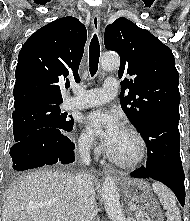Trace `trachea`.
Segmentation results:
<instances>
[{"label":"trachea","instance_id":"trachea-1","mask_svg":"<svg viewBox=\"0 0 190 221\" xmlns=\"http://www.w3.org/2000/svg\"><path fill=\"white\" fill-rule=\"evenodd\" d=\"M99 57L100 44L97 36L94 35L89 46V71L91 76H94L98 70Z\"/></svg>","mask_w":190,"mask_h":221}]
</instances>
